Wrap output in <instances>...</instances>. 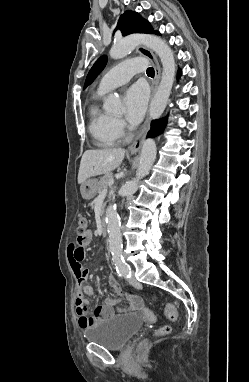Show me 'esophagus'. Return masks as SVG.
<instances>
[{"label": "esophagus", "instance_id": "1", "mask_svg": "<svg viewBox=\"0 0 249 382\" xmlns=\"http://www.w3.org/2000/svg\"><path fill=\"white\" fill-rule=\"evenodd\" d=\"M136 51L139 54H141L142 56H144L145 58H147L154 67L155 77H154L152 84H151V95L153 96L154 93L156 92V89H157L159 81H160V76H161V68H160L159 61H158L157 57L153 54V52L144 46H138ZM149 127H150V118L148 116L144 122V125H143L141 131L137 135L136 139L129 146L130 153H136L140 150L142 142L144 140V137H145Z\"/></svg>", "mask_w": 249, "mask_h": 382}]
</instances>
